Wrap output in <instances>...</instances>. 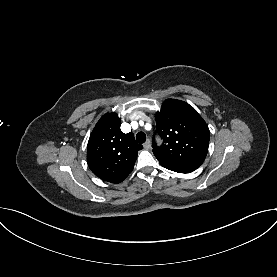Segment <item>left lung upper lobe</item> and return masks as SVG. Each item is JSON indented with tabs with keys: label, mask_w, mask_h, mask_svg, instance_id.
Returning a JSON list of instances; mask_svg holds the SVG:
<instances>
[{
	"label": "left lung upper lobe",
	"mask_w": 277,
	"mask_h": 277,
	"mask_svg": "<svg viewBox=\"0 0 277 277\" xmlns=\"http://www.w3.org/2000/svg\"><path fill=\"white\" fill-rule=\"evenodd\" d=\"M156 132L163 138L153 153L160 164L172 171L190 173L205 160L210 132L198 112L188 103L167 99L155 115Z\"/></svg>",
	"instance_id": "5c2ea615"
}]
</instances>
